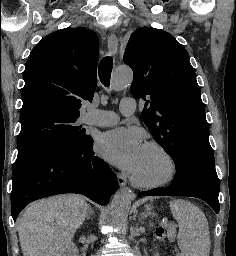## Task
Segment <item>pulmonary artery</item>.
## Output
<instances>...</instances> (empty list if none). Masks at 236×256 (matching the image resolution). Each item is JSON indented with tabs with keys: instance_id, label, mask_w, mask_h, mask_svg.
<instances>
[{
	"instance_id": "obj_1",
	"label": "pulmonary artery",
	"mask_w": 236,
	"mask_h": 256,
	"mask_svg": "<svg viewBox=\"0 0 236 256\" xmlns=\"http://www.w3.org/2000/svg\"><path fill=\"white\" fill-rule=\"evenodd\" d=\"M127 101H121L120 112L125 116H131L135 112L134 96H127ZM108 116L103 118H92L86 121V124L94 126H113L119 121L118 114L114 112H105Z\"/></svg>"
}]
</instances>
